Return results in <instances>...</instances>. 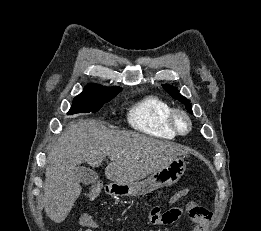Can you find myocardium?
<instances>
[{"mask_svg": "<svg viewBox=\"0 0 261 231\" xmlns=\"http://www.w3.org/2000/svg\"><path fill=\"white\" fill-rule=\"evenodd\" d=\"M184 120L187 127L186 129H182L180 125V121ZM169 124L171 129L177 135H186L192 130V121L188 113L182 109L176 108L172 109L169 116Z\"/></svg>", "mask_w": 261, "mask_h": 231, "instance_id": "f54148a6", "label": "myocardium"}]
</instances>
